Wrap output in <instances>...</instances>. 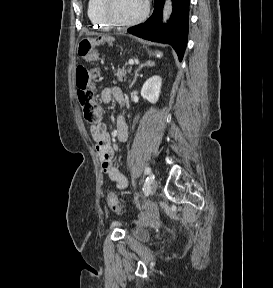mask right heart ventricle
I'll return each instance as SVG.
<instances>
[{
  "instance_id": "e07e8e85",
  "label": "right heart ventricle",
  "mask_w": 273,
  "mask_h": 288,
  "mask_svg": "<svg viewBox=\"0 0 273 288\" xmlns=\"http://www.w3.org/2000/svg\"><path fill=\"white\" fill-rule=\"evenodd\" d=\"M101 3L102 0H89L87 6V13L91 23L100 29H109L110 24H108L101 14Z\"/></svg>"
}]
</instances>
